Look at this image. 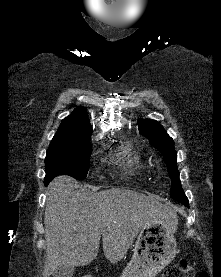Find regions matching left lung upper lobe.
<instances>
[{"label": "left lung upper lobe", "instance_id": "obj_1", "mask_svg": "<svg viewBox=\"0 0 221 277\" xmlns=\"http://www.w3.org/2000/svg\"><path fill=\"white\" fill-rule=\"evenodd\" d=\"M139 130L164 156L168 167L171 182V198L183 203L187 199L179 180L177 170V153L174 149V141L169 137L164 128L155 120H138Z\"/></svg>", "mask_w": 221, "mask_h": 277}]
</instances>
